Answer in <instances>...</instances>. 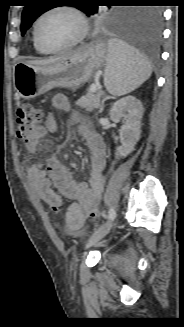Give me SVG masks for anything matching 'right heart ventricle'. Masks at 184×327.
Wrapping results in <instances>:
<instances>
[{"label":"right heart ventricle","mask_w":184,"mask_h":327,"mask_svg":"<svg viewBox=\"0 0 184 327\" xmlns=\"http://www.w3.org/2000/svg\"><path fill=\"white\" fill-rule=\"evenodd\" d=\"M34 48H35V50L38 52V53H40V54H46L47 52H45V51H43V50H41L35 43H34Z\"/></svg>","instance_id":"1"}]
</instances>
